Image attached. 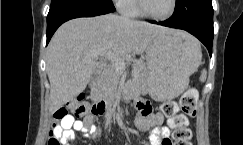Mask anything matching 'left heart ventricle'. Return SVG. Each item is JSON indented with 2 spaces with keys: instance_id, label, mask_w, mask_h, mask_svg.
Masks as SVG:
<instances>
[{
  "instance_id": "1",
  "label": "left heart ventricle",
  "mask_w": 243,
  "mask_h": 145,
  "mask_svg": "<svg viewBox=\"0 0 243 145\" xmlns=\"http://www.w3.org/2000/svg\"><path fill=\"white\" fill-rule=\"evenodd\" d=\"M145 9L156 16L167 14L172 6V0H143Z\"/></svg>"
}]
</instances>
